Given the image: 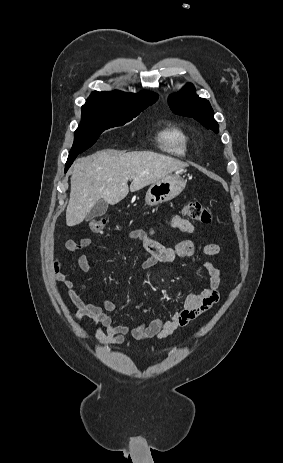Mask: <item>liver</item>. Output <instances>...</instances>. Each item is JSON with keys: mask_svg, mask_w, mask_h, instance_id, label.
<instances>
[{"mask_svg": "<svg viewBox=\"0 0 283 463\" xmlns=\"http://www.w3.org/2000/svg\"><path fill=\"white\" fill-rule=\"evenodd\" d=\"M187 166L183 161L151 151L118 154L107 149L80 158L71 170L66 224H80L100 199L111 205L123 200L129 193V178L130 191L135 192Z\"/></svg>", "mask_w": 283, "mask_h": 463, "instance_id": "1", "label": "liver"}]
</instances>
